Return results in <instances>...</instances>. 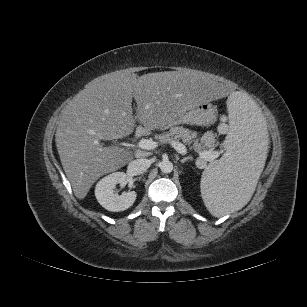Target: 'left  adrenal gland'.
<instances>
[{
    "label": "left adrenal gland",
    "instance_id": "left-adrenal-gland-1",
    "mask_svg": "<svg viewBox=\"0 0 307 307\" xmlns=\"http://www.w3.org/2000/svg\"><path fill=\"white\" fill-rule=\"evenodd\" d=\"M187 161H192V157L191 156H187V157H185V158L180 160L181 163H185Z\"/></svg>",
    "mask_w": 307,
    "mask_h": 307
}]
</instances>
